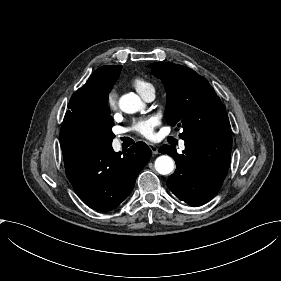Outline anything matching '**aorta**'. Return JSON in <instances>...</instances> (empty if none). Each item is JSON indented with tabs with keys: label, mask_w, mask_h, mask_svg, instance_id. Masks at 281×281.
Wrapping results in <instances>:
<instances>
[{
	"label": "aorta",
	"mask_w": 281,
	"mask_h": 281,
	"mask_svg": "<svg viewBox=\"0 0 281 281\" xmlns=\"http://www.w3.org/2000/svg\"><path fill=\"white\" fill-rule=\"evenodd\" d=\"M120 109L128 114L136 113L143 109L144 104L140 97L135 93H127L119 100ZM156 171L161 175H168L173 172L175 167L174 160L168 155L159 156L154 163Z\"/></svg>",
	"instance_id": "obj_1"
}]
</instances>
